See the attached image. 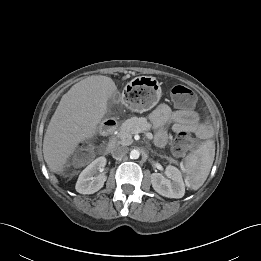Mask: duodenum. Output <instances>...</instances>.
I'll return each instance as SVG.
<instances>
[{
    "label": "duodenum",
    "mask_w": 261,
    "mask_h": 261,
    "mask_svg": "<svg viewBox=\"0 0 261 261\" xmlns=\"http://www.w3.org/2000/svg\"><path fill=\"white\" fill-rule=\"evenodd\" d=\"M116 121L112 118L105 120L101 125V131L109 137V143L107 145V152L110 153L114 148V131L116 129Z\"/></svg>",
    "instance_id": "obj_1"
}]
</instances>
